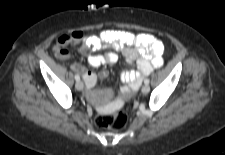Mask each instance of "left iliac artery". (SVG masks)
Masks as SVG:
<instances>
[{"instance_id":"obj_1","label":"left iliac artery","mask_w":225,"mask_h":155,"mask_svg":"<svg viewBox=\"0 0 225 155\" xmlns=\"http://www.w3.org/2000/svg\"><path fill=\"white\" fill-rule=\"evenodd\" d=\"M149 82H150V81H149V79H147V78L144 80V83H145V84H149Z\"/></svg>"}]
</instances>
